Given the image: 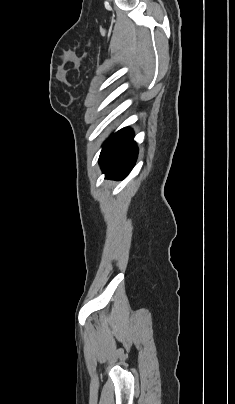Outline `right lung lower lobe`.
<instances>
[{
    "label": "right lung lower lobe",
    "instance_id": "right-lung-lower-lobe-1",
    "mask_svg": "<svg viewBox=\"0 0 235 404\" xmlns=\"http://www.w3.org/2000/svg\"><path fill=\"white\" fill-rule=\"evenodd\" d=\"M130 128L113 134L103 145L99 162L106 178L123 179L135 164L138 149Z\"/></svg>",
    "mask_w": 235,
    "mask_h": 404
}]
</instances>
